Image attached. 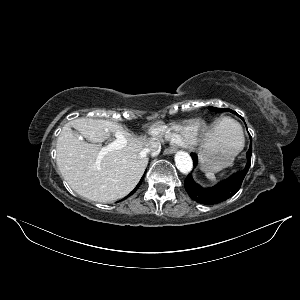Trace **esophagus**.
Here are the masks:
<instances>
[{
	"label": "esophagus",
	"mask_w": 300,
	"mask_h": 300,
	"mask_svg": "<svg viewBox=\"0 0 300 300\" xmlns=\"http://www.w3.org/2000/svg\"><path fill=\"white\" fill-rule=\"evenodd\" d=\"M174 149L173 148H167L166 150H165V154H173L174 153Z\"/></svg>",
	"instance_id": "34e87169"
}]
</instances>
